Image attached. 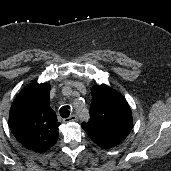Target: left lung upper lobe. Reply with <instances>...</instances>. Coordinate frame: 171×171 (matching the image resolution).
<instances>
[{"instance_id":"obj_1","label":"left lung upper lobe","mask_w":171,"mask_h":171,"mask_svg":"<svg viewBox=\"0 0 171 171\" xmlns=\"http://www.w3.org/2000/svg\"><path fill=\"white\" fill-rule=\"evenodd\" d=\"M91 95L90 120L82 123V128L102 148L120 144L129 135L133 124L127 101L105 84L93 87Z\"/></svg>"}]
</instances>
